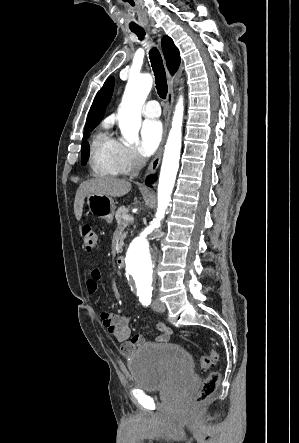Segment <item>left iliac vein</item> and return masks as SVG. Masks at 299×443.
<instances>
[{
  "mask_svg": "<svg viewBox=\"0 0 299 443\" xmlns=\"http://www.w3.org/2000/svg\"><path fill=\"white\" fill-rule=\"evenodd\" d=\"M153 309L156 312H160L161 313V312L165 311V305L162 304L161 302H156V303L153 304Z\"/></svg>",
  "mask_w": 299,
  "mask_h": 443,
  "instance_id": "left-iliac-vein-1",
  "label": "left iliac vein"
}]
</instances>
